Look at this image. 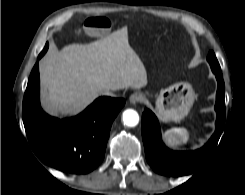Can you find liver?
Segmentation results:
<instances>
[{
  "instance_id": "1",
  "label": "liver",
  "mask_w": 245,
  "mask_h": 195,
  "mask_svg": "<svg viewBox=\"0 0 245 195\" xmlns=\"http://www.w3.org/2000/svg\"><path fill=\"white\" fill-rule=\"evenodd\" d=\"M39 69L43 105L54 115L80 112L105 89L147 85L146 69L129 45L127 27L89 44L52 50Z\"/></svg>"
}]
</instances>
